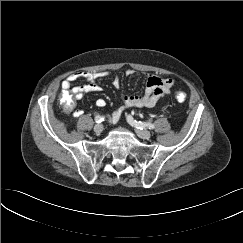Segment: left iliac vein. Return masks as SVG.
<instances>
[{
	"label": "left iliac vein",
	"instance_id": "left-iliac-vein-1",
	"mask_svg": "<svg viewBox=\"0 0 243 243\" xmlns=\"http://www.w3.org/2000/svg\"><path fill=\"white\" fill-rule=\"evenodd\" d=\"M136 133L142 139H149L151 137V133L147 130L136 129Z\"/></svg>",
	"mask_w": 243,
	"mask_h": 243
}]
</instances>
